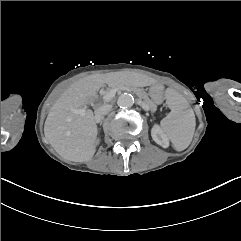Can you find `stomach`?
I'll return each mask as SVG.
<instances>
[{
    "instance_id": "0dacf381",
    "label": "stomach",
    "mask_w": 241,
    "mask_h": 241,
    "mask_svg": "<svg viewBox=\"0 0 241 241\" xmlns=\"http://www.w3.org/2000/svg\"><path fill=\"white\" fill-rule=\"evenodd\" d=\"M148 95L154 103L161 104L164 100V86L159 83L151 86Z\"/></svg>"
}]
</instances>
